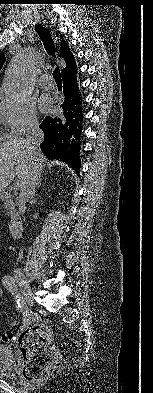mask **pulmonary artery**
Here are the masks:
<instances>
[{
    "label": "pulmonary artery",
    "instance_id": "1",
    "mask_svg": "<svg viewBox=\"0 0 153 393\" xmlns=\"http://www.w3.org/2000/svg\"><path fill=\"white\" fill-rule=\"evenodd\" d=\"M52 77L49 75H43L40 79V85L45 89H50L53 86Z\"/></svg>",
    "mask_w": 153,
    "mask_h": 393
}]
</instances>
